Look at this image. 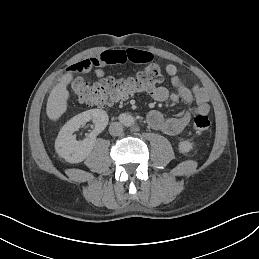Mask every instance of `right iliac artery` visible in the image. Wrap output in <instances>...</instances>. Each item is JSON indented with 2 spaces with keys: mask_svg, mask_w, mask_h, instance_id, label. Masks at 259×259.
Masks as SVG:
<instances>
[{
  "mask_svg": "<svg viewBox=\"0 0 259 259\" xmlns=\"http://www.w3.org/2000/svg\"><path fill=\"white\" fill-rule=\"evenodd\" d=\"M120 120H122V121L125 120V116L121 115Z\"/></svg>",
  "mask_w": 259,
  "mask_h": 259,
  "instance_id": "right-iliac-artery-1",
  "label": "right iliac artery"
}]
</instances>
